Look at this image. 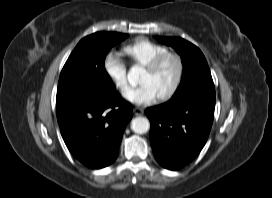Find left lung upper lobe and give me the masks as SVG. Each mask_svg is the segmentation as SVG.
<instances>
[{
    "label": "left lung upper lobe",
    "instance_id": "5c2ea615",
    "mask_svg": "<svg viewBox=\"0 0 272 198\" xmlns=\"http://www.w3.org/2000/svg\"><path fill=\"white\" fill-rule=\"evenodd\" d=\"M157 40L175 48L182 59V80L173 96L190 90L214 89L209 66L198 47L182 38L157 37Z\"/></svg>",
    "mask_w": 272,
    "mask_h": 198
}]
</instances>
